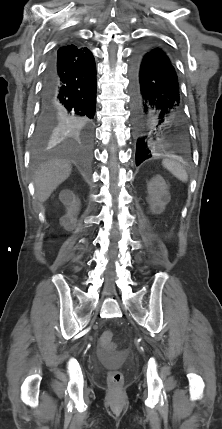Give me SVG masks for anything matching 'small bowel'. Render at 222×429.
<instances>
[{
	"mask_svg": "<svg viewBox=\"0 0 222 429\" xmlns=\"http://www.w3.org/2000/svg\"><path fill=\"white\" fill-rule=\"evenodd\" d=\"M100 354L103 358H109L110 357V352L107 350V348L102 347L100 349Z\"/></svg>",
	"mask_w": 222,
	"mask_h": 429,
	"instance_id": "obj_1",
	"label": "small bowel"
}]
</instances>
